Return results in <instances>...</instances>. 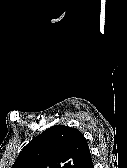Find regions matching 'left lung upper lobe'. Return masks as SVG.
Listing matches in <instances>:
<instances>
[{"instance_id":"obj_1","label":"left lung upper lobe","mask_w":127,"mask_h":168,"mask_svg":"<svg viewBox=\"0 0 127 168\" xmlns=\"http://www.w3.org/2000/svg\"><path fill=\"white\" fill-rule=\"evenodd\" d=\"M87 148L80 131L55 125L22 149L12 168H80Z\"/></svg>"}]
</instances>
